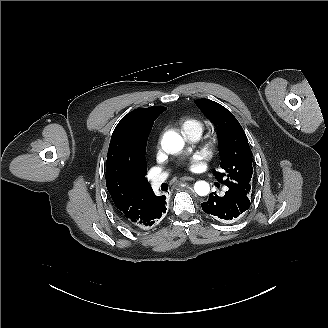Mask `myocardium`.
Returning a JSON list of instances; mask_svg holds the SVG:
<instances>
[{"mask_svg": "<svg viewBox=\"0 0 328 328\" xmlns=\"http://www.w3.org/2000/svg\"><path fill=\"white\" fill-rule=\"evenodd\" d=\"M221 147V135L212 131L197 140H190L186 147L187 152H196L200 158L212 162L218 156Z\"/></svg>", "mask_w": 328, "mask_h": 328, "instance_id": "1", "label": "myocardium"}]
</instances>
